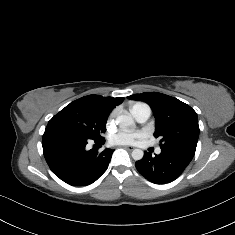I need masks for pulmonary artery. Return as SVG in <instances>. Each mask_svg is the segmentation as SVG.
Here are the masks:
<instances>
[{
	"instance_id": "obj_1",
	"label": "pulmonary artery",
	"mask_w": 235,
	"mask_h": 235,
	"mask_svg": "<svg viewBox=\"0 0 235 235\" xmlns=\"http://www.w3.org/2000/svg\"><path fill=\"white\" fill-rule=\"evenodd\" d=\"M132 113L137 122L144 123L149 119L151 115V108L147 104L139 103L132 108ZM160 151L161 149L158 148L157 153H160Z\"/></svg>"
}]
</instances>
